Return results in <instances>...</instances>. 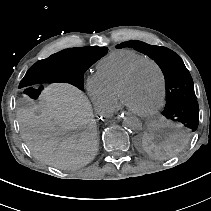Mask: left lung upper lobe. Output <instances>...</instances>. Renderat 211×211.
<instances>
[{
	"label": "left lung upper lobe",
	"mask_w": 211,
	"mask_h": 211,
	"mask_svg": "<svg viewBox=\"0 0 211 211\" xmlns=\"http://www.w3.org/2000/svg\"><path fill=\"white\" fill-rule=\"evenodd\" d=\"M133 47L152 58L162 69L166 83V105L162 114L180 122L186 134L195 131L199 123V107L192 77L182 59L172 50L141 41H128L116 48Z\"/></svg>",
	"instance_id": "obj_1"
}]
</instances>
